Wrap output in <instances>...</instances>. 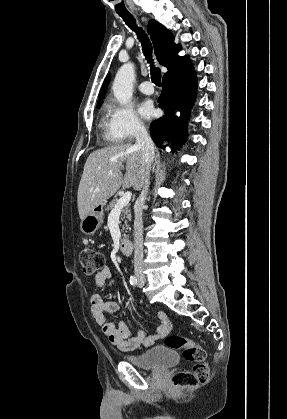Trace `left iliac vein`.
<instances>
[{"instance_id": "left-iliac-vein-1", "label": "left iliac vein", "mask_w": 287, "mask_h": 419, "mask_svg": "<svg viewBox=\"0 0 287 419\" xmlns=\"http://www.w3.org/2000/svg\"><path fill=\"white\" fill-rule=\"evenodd\" d=\"M144 283H145L144 279L140 278L138 286L142 287L144 285Z\"/></svg>"}]
</instances>
